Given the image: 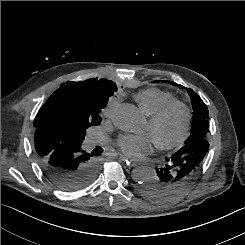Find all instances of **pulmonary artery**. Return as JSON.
<instances>
[{"mask_svg":"<svg viewBox=\"0 0 245 245\" xmlns=\"http://www.w3.org/2000/svg\"><path fill=\"white\" fill-rule=\"evenodd\" d=\"M102 141L103 140L101 138L93 136V137L88 139V145L89 146H94L95 144H101Z\"/></svg>","mask_w":245,"mask_h":245,"instance_id":"pulmonary-artery-1","label":"pulmonary artery"}]
</instances>
